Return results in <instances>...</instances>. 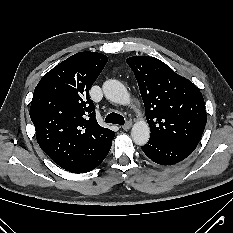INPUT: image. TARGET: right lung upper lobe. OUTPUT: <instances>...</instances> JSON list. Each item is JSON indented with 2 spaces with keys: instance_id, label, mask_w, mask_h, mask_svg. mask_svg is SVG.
<instances>
[{
  "instance_id": "1",
  "label": "right lung upper lobe",
  "mask_w": 233,
  "mask_h": 233,
  "mask_svg": "<svg viewBox=\"0 0 233 233\" xmlns=\"http://www.w3.org/2000/svg\"><path fill=\"white\" fill-rule=\"evenodd\" d=\"M108 61L96 52H80L46 73L35 88L30 118L41 149L71 171L99 156L115 133L95 118L89 90Z\"/></svg>"
}]
</instances>
